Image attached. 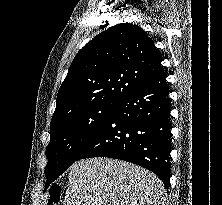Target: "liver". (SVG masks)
<instances>
[{
    "instance_id": "obj_1",
    "label": "liver",
    "mask_w": 222,
    "mask_h": 205,
    "mask_svg": "<svg viewBox=\"0 0 222 205\" xmlns=\"http://www.w3.org/2000/svg\"><path fill=\"white\" fill-rule=\"evenodd\" d=\"M63 205H164V185L134 164L90 158L70 167Z\"/></svg>"
}]
</instances>
